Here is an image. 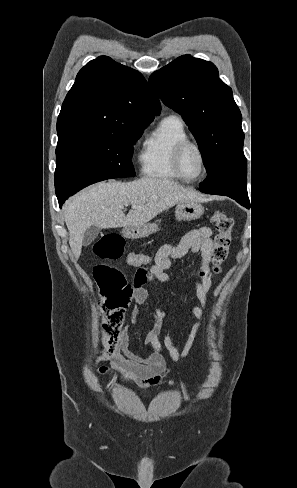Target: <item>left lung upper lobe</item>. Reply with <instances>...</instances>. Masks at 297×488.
<instances>
[{
  "label": "left lung upper lobe",
  "mask_w": 297,
  "mask_h": 488,
  "mask_svg": "<svg viewBox=\"0 0 297 488\" xmlns=\"http://www.w3.org/2000/svg\"><path fill=\"white\" fill-rule=\"evenodd\" d=\"M149 83L197 141L208 174L200 191L249 201L242 116L216 66L183 55L154 72Z\"/></svg>",
  "instance_id": "obj_1"
}]
</instances>
